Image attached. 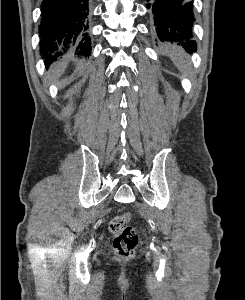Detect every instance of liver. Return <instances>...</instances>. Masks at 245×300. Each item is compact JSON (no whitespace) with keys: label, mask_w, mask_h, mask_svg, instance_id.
Returning a JSON list of instances; mask_svg holds the SVG:
<instances>
[{"label":"liver","mask_w":245,"mask_h":300,"mask_svg":"<svg viewBox=\"0 0 245 300\" xmlns=\"http://www.w3.org/2000/svg\"><path fill=\"white\" fill-rule=\"evenodd\" d=\"M66 66H67V62H64V63L61 64V66L57 67L54 71L55 76L59 77L60 75H62V73L64 72Z\"/></svg>","instance_id":"6515ba94"}]
</instances>
